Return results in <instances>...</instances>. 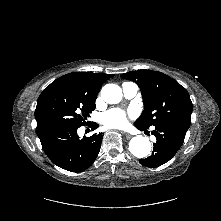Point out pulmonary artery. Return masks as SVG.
Listing matches in <instances>:
<instances>
[{
  "mask_svg": "<svg viewBox=\"0 0 221 221\" xmlns=\"http://www.w3.org/2000/svg\"><path fill=\"white\" fill-rule=\"evenodd\" d=\"M122 91L125 98L132 99L138 93V85L134 82H125L122 84Z\"/></svg>",
  "mask_w": 221,
  "mask_h": 221,
  "instance_id": "obj_1",
  "label": "pulmonary artery"
}]
</instances>
